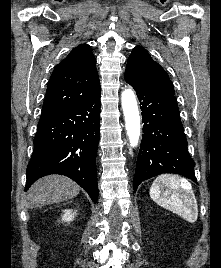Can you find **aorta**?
<instances>
[{
	"mask_svg": "<svg viewBox=\"0 0 221 268\" xmlns=\"http://www.w3.org/2000/svg\"><path fill=\"white\" fill-rule=\"evenodd\" d=\"M121 103L130 145L136 147L140 138L141 126L136 96L132 89L128 88L122 92Z\"/></svg>",
	"mask_w": 221,
	"mask_h": 268,
	"instance_id": "762f6f07",
	"label": "aorta"
}]
</instances>
